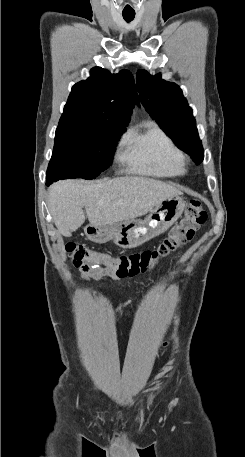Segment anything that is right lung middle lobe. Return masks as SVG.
<instances>
[{
    "label": "right lung middle lobe",
    "instance_id": "right-lung-middle-lobe-1",
    "mask_svg": "<svg viewBox=\"0 0 245 457\" xmlns=\"http://www.w3.org/2000/svg\"><path fill=\"white\" fill-rule=\"evenodd\" d=\"M128 123L62 117L46 179H95L112 162L115 143Z\"/></svg>",
    "mask_w": 245,
    "mask_h": 457
}]
</instances>
